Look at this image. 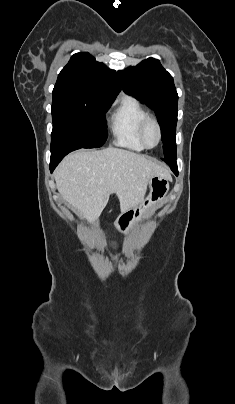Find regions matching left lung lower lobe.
<instances>
[{
	"mask_svg": "<svg viewBox=\"0 0 235 404\" xmlns=\"http://www.w3.org/2000/svg\"><path fill=\"white\" fill-rule=\"evenodd\" d=\"M165 161L173 171V173L178 176V168H177V162L176 161H171V160H163Z\"/></svg>",
	"mask_w": 235,
	"mask_h": 404,
	"instance_id": "left-lung-lower-lobe-1",
	"label": "left lung lower lobe"
}]
</instances>
